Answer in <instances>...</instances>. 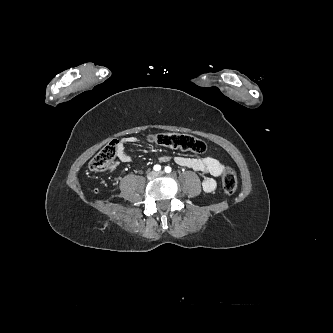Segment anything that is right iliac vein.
<instances>
[{
    "instance_id": "1",
    "label": "right iliac vein",
    "mask_w": 333,
    "mask_h": 333,
    "mask_svg": "<svg viewBox=\"0 0 333 333\" xmlns=\"http://www.w3.org/2000/svg\"><path fill=\"white\" fill-rule=\"evenodd\" d=\"M156 177V173L155 172H149L148 175H147V178L149 180H152Z\"/></svg>"
}]
</instances>
